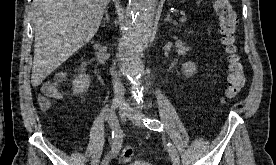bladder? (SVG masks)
<instances>
[{"label":"bladder","mask_w":276,"mask_h":165,"mask_svg":"<svg viewBox=\"0 0 276 165\" xmlns=\"http://www.w3.org/2000/svg\"><path fill=\"white\" fill-rule=\"evenodd\" d=\"M128 165H151V164L143 160H136L129 163Z\"/></svg>","instance_id":"bladder-1"}]
</instances>
